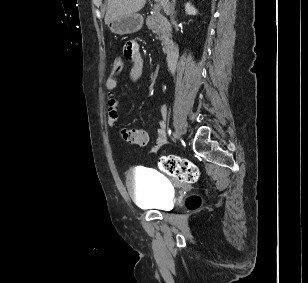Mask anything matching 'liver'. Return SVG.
<instances>
[{
    "instance_id": "obj_1",
    "label": "liver",
    "mask_w": 308,
    "mask_h": 283,
    "mask_svg": "<svg viewBox=\"0 0 308 283\" xmlns=\"http://www.w3.org/2000/svg\"><path fill=\"white\" fill-rule=\"evenodd\" d=\"M165 8L169 0H158ZM146 0H108L105 23L108 25L117 17L132 15L140 11L145 6Z\"/></svg>"
}]
</instances>
